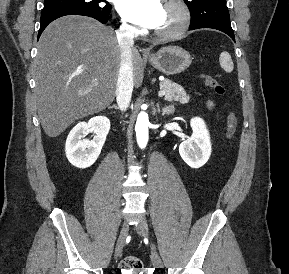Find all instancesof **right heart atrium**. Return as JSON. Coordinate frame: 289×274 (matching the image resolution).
<instances>
[{"label": "right heart atrium", "mask_w": 289, "mask_h": 274, "mask_svg": "<svg viewBox=\"0 0 289 274\" xmlns=\"http://www.w3.org/2000/svg\"><path fill=\"white\" fill-rule=\"evenodd\" d=\"M121 29L127 33H134L136 32V28L131 24L127 23L124 19H121Z\"/></svg>", "instance_id": "d8ad5b80"}]
</instances>
